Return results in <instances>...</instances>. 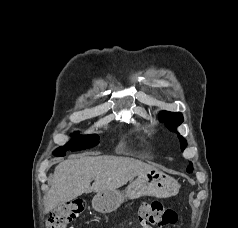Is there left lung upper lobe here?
Wrapping results in <instances>:
<instances>
[{
    "instance_id": "1",
    "label": "left lung upper lobe",
    "mask_w": 238,
    "mask_h": 228,
    "mask_svg": "<svg viewBox=\"0 0 238 228\" xmlns=\"http://www.w3.org/2000/svg\"><path fill=\"white\" fill-rule=\"evenodd\" d=\"M160 120L162 122H166V125L169 127L170 130L175 131L178 134V137L180 139L181 142V148L182 150L185 149L187 142L186 140L179 135V133L175 130V128L180 125L183 122V116L180 112H167V111H163L161 112V117ZM191 165H189L187 167V172L191 173L192 172V163H190Z\"/></svg>"
}]
</instances>
